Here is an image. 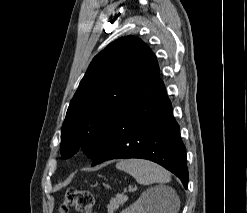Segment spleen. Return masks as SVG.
I'll list each match as a JSON object with an SVG mask.
<instances>
[{"mask_svg": "<svg viewBox=\"0 0 247 213\" xmlns=\"http://www.w3.org/2000/svg\"><path fill=\"white\" fill-rule=\"evenodd\" d=\"M116 168L133 176L139 184L166 183L171 179V174L153 162L142 159H126L116 164ZM175 213L179 210V200L174 197Z\"/></svg>", "mask_w": 247, "mask_h": 213, "instance_id": "spleen-1", "label": "spleen"}]
</instances>
